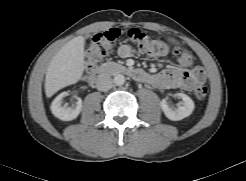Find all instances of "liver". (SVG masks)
<instances>
[{
  "label": "liver",
  "mask_w": 246,
  "mask_h": 181,
  "mask_svg": "<svg viewBox=\"0 0 246 181\" xmlns=\"http://www.w3.org/2000/svg\"><path fill=\"white\" fill-rule=\"evenodd\" d=\"M86 36L68 41L51 60L45 79V94L52 97L60 89L77 83L84 71Z\"/></svg>",
  "instance_id": "obj_1"
}]
</instances>
